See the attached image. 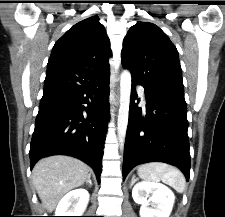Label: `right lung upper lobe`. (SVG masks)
<instances>
[{"label":"right lung upper lobe","instance_id":"1","mask_svg":"<svg viewBox=\"0 0 225 217\" xmlns=\"http://www.w3.org/2000/svg\"><path fill=\"white\" fill-rule=\"evenodd\" d=\"M110 56V41L98 16L75 24L52 49L43 97L87 89L108 79Z\"/></svg>","mask_w":225,"mask_h":217}]
</instances>
